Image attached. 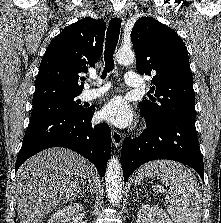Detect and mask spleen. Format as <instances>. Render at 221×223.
Returning <instances> with one entry per match:
<instances>
[{
  "label": "spleen",
  "instance_id": "spleen-1",
  "mask_svg": "<svg viewBox=\"0 0 221 223\" xmlns=\"http://www.w3.org/2000/svg\"><path fill=\"white\" fill-rule=\"evenodd\" d=\"M155 176L169 187L165 206L175 223H200L202 216V196L194 174L184 165L171 160H158L141 167L135 183L143 178Z\"/></svg>",
  "mask_w": 221,
  "mask_h": 223
}]
</instances>
